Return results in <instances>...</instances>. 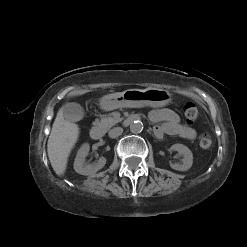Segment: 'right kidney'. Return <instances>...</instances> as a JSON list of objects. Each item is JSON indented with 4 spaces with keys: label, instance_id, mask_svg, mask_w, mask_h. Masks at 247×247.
Returning <instances> with one entry per match:
<instances>
[{
    "label": "right kidney",
    "instance_id": "ca27d5eb",
    "mask_svg": "<svg viewBox=\"0 0 247 247\" xmlns=\"http://www.w3.org/2000/svg\"><path fill=\"white\" fill-rule=\"evenodd\" d=\"M90 150L89 144L85 143L78 150L77 156L74 161V170L81 175H93L98 170L102 169L106 164V159L104 157H100L99 160L93 164L86 165L85 157L88 155Z\"/></svg>",
    "mask_w": 247,
    "mask_h": 247
}]
</instances>
